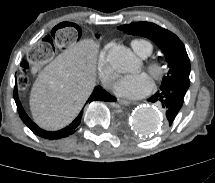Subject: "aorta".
Listing matches in <instances>:
<instances>
[{"instance_id":"762f6f07","label":"aorta","mask_w":215,"mask_h":183,"mask_svg":"<svg viewBox=\"0 0 215 183\" xmlns=\"http://www.w3.org/2000/svg\"><path fill=\"white\" fill-rule=\"evenodd\" d=\"M108 60L113 69L127 73L132 69L135 58L128 48L118 45L110 50ZM130 122L135 132L150 135L161 129L163 116L155 107L142 106L132 113Z\"/></svg>"}]
</instances>
